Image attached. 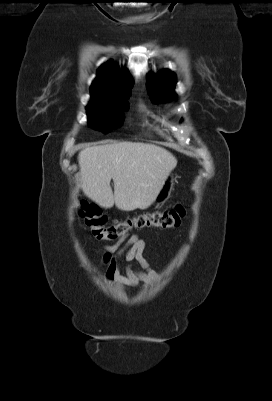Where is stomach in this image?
<instances>
[{"mask_svg":"<svg viewBox=\"0 0 272 401\" xmlns=\"http://www.w3.org/2000/svg\"><path fill=\"white\" fill-rule=\"evenodd\" d=\"M173 181H174L173 177L169 175L166 178V180L154 202H156L157 204H162L170 197V194H171V191L173 188Z\"/></svg>","mask_w":272,"mask_h":401,"instance_id":"1","label":"stomach"}]
</instances>
